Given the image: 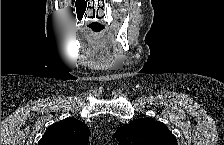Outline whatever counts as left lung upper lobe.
Instances as JSON below:
<instances>
[{"mask_svg":"<svg viewBox=\"0 0 224 145\" xmlns=\"http://www.w3.org/2000/svg\"><path fill=\"white\" fill-rule=\"evenodd\" d=\"M121 145H177L176 137L162 122L152 118L135 120L115 132Z\"/></svg>","mask_w":224,"mask_h":145,"instance_id":"obj_1","label":"left lung upper lobe"}]
</instances>
